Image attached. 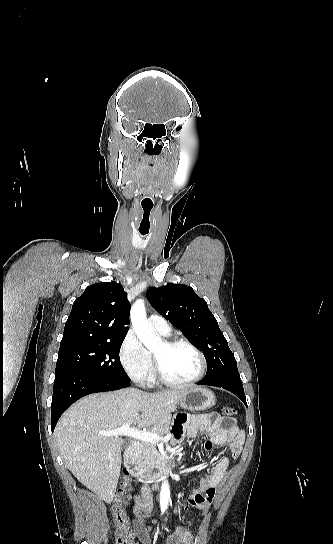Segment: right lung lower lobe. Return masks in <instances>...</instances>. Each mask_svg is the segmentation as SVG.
<instances>
[{
  "mask_svg": "<svg viewBox=\"0 0 333 544\" xmlns=\"http://www.w3.org/2000/svg\"><path fill=\"white\" fill-rule=\"evenodd\" d=\"M129 386L130 381L115 382L109 379H96L87 374L71 370L55 372L51 403L52 432L62 413L81 397L91 393L113 391Z\"/></svg>",
  "mask_w": 333,
  "mask_h": 544,
  "instance_id": "right-lung-lower-lobe-1",
  "label": "right lung lower lobe"
}]
</instances>
